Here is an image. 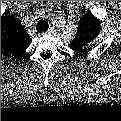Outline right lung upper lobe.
Wrapping results in <instances>:
<instances>
[{"mask_svg":"<svg viewBox=\"0 0 121 121\" xmlns=\"http://www.w3.org/2000/svg\"><path fill=\"white\" fill-rule=\"evenodd\" d=\"M30 42L24 27L12 15L1 17V49L4 53L20 54Z\"/></svg>","mask_w":121,"mask_h":121,"instance_id":"right-lung-upper-lobe-1","label":"right lung upper lobe"}]
</instances>
